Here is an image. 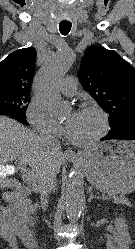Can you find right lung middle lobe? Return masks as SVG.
<instances>
[{"label":"right lung middle lobe","mask_w":135,"mask_h":249,"mask_svg":"<svg viewBox=\"0 0 135 249\" xmlns=\"http://www.w3.org/2000/svg\"><path fill=\"white\" fill-rule=\"evenodd\" d=\"M29 102V92L0 91V109H7L25 117Z\"/></svg>","instance_id":"right-lung-middle-lobe-1"}]
</instances>
